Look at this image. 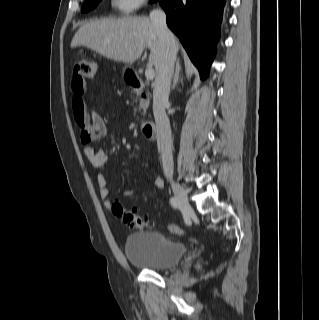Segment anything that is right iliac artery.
Listing matches in <instances>:
<instances>
[{
	"instance_id": "1",
	"label": "right iliac artery",
	"mask_w": 319,
	"mask_h": 320,
	"mask_svg": "<svg viewBox=\"0 0 319 320\" xmlns=\"http://www.w3.org/2000/svg\"><path fill=\"white\" fill-rule=\"evenodd\" d=\"M170 204L172 207L177 208L180 205L179 200L176 197L170 198Z\"/></svg>"
}]
</instances>
